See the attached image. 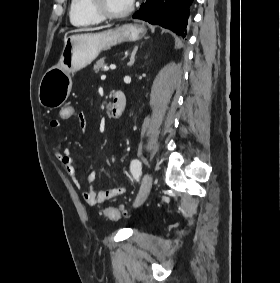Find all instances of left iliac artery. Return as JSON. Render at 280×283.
<instances>
[{
  "label": "left iliac artery",
  "mask_w": 280,
  "mask_h": 283,
  "mask_svg": "<svg viewBox=\"0 0 280 283\" xmlns=\"http://www.w3.org/2000/svg\"><path fill=\"white\" fill-rule=\"evenodd\" d=\"M141 169H142L141 162L138 159L132 160L131 165H130V171L133 177L137 181H139V177L141 176V173H142Z\"/></svg>",
  "instance_id": "left-iliac-artery-1"
}]
</instances>
